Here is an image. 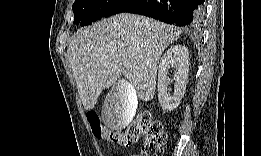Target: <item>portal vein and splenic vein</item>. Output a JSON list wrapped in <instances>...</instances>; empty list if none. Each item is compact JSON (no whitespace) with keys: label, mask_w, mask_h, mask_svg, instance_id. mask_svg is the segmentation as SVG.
Segmentation results:
<instances>
[{"label":"portal vein and splenic vein","mask_w":261,"mask_h":156,"mask_svg":"<svg viewBox=\"0 0 261 156\" xmlns=\"http://www.w3.org/2000/svg\"><path fill=\"white\" fill-rule=\"evenodd\" d=\"M122 65H123L124 67H126V68H129V67H130V64L127 63V62H123Z\"/></svg>","instance_id":"portal-vein-and-splenic-vein-1"}]
</instances>
